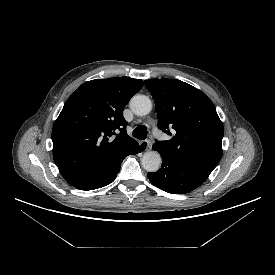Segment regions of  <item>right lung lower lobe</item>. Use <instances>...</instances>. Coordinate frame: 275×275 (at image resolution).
Instances as JSON below:
<instances>
[{
    "mask_svg": "<svg viewBox=\"0 0 275 275\" xmlns=\"http://www.w3.org/2000/svg\"><path fill=\"white\" fill-rule=\"evenodd\" d=\"M145 148H146V143H143L142 145H138L130 154H137L139 152H142ZM121 162L119 164H117L116 166H114L107 173L100 175L98 177H95L93 179H90L88 181L79 183V184L75 185L74 187H76L77 189H80V190H94V189H98V188H101V187H104V186L110 184L116 178V176L120 170Z\"/></svg>",
    "mask_w": 275,
    "mask_h": 275,
    "instance_id": "obj_1",
    "label": "right lung lower lobe"
}]
</instances>
